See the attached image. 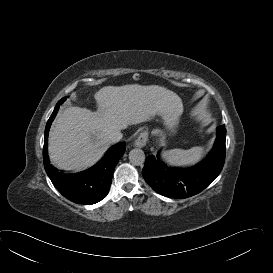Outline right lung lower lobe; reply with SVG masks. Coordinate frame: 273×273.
Instances as JSON below:
<instances>
[{"mask_svg": "<svg viewBox=\"0 0 273 273\" xmlns=\"http://www.w3.org/2000/svg\"><path fill=\"white\" fill-rule=\"evenodd\" d=\"M63 102L64 98L56 104L46 124L43 146L44 167L53 185L64 197L78 204H95L108 194L115 166L123 156L126 144L123 142L112 146L105 156L88 170L75 174L59 172L50 164L47 144L50 125Z\"/></svg>", "mask_w": 273, "mask_h": 273, "instance_id": "obj_1", "label": "right lung lower lobe"}]
</instances>
